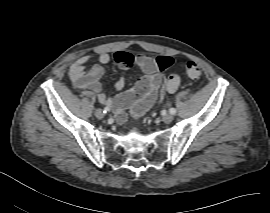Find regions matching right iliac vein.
I'll return each instance as SVG.
<instances>
[{"label":"right iliac vein","instance_id":"obj_1","mask_svg":"<svg viewBox=\"0 0 270 213\" xmlns=\"http://www.w3.org/2000/svg\"><path fill=\"white\" fill-rule=\"evenodd\" d=\"M95 116H96L97 118L101 119V118L104 117V113H103V111H102L100 108H98V109H96V111H95Z\"/></svg>","mask_w":270,"mask_h":213}]
</instances>
